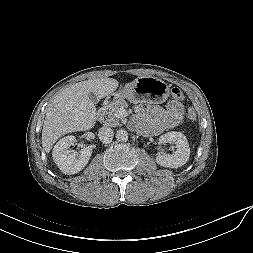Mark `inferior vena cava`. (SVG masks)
<instances>
[{"mask_svg":"<svg viewBox=\"0 0 253 253\" xmlns=\"http://www.w3.org/2000/svg\"><path fill=\"white\" fill-rule=\"evenodd\" d=\"M114 136L113 130L108 126H103L99 129L98 137L99 140L107 144L112 141Z\"/></svg>","mask_w":253,"mask_h":253,"instance_id":"inferior-vena-cava-1","label":"inferior vena cava"}]
</instances>
